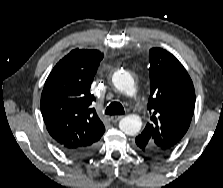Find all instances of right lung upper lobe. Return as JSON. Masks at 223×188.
<instances>
[{
    "label": "right lung upper lobe",
    "instance_id": "obj_1",
    "mask_svg": "<svg viewBox=\"0 0 223 188\" xmlns=\"http://www.w3.org/2000/svg\"><path fill=\"white\" fill-rule=\"evenodd\" d=\"M103 54L75 49L49 74L41 95V112L49 134L64 148H86L98 143L105 128L94 108L92 80Z\"/></svg>",
    "mask_w": 223,
    "mask_h": 188
}]
</instances>
